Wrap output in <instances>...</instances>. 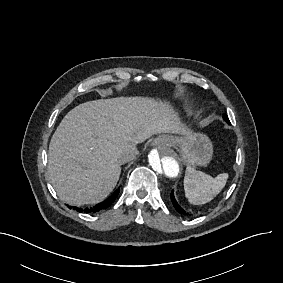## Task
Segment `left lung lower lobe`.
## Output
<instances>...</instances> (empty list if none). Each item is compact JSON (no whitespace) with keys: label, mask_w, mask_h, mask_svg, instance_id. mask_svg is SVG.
Returning a JSON list of instances; mask_svg holds the SVG:
<instances>
[{"label":"left lung lower lobe","mask_w":283,"mask_h":283,"mask_svg":"<svg viewBox=\"0 0 283 283\" xmlns=\"http://www.w3.org/2000/svg\"><path fill=\"white\" fill-rule=\"evenodd\" d=\"M224 120L230 124L227 115H224ZM171 200H172V203H173L175 209H176L179 213L185 214L184 210L177 204V202H176V200H175V198H174L173 192H171Z\"/></svg>","instance_id":"0a47b994"}]
</instances>
